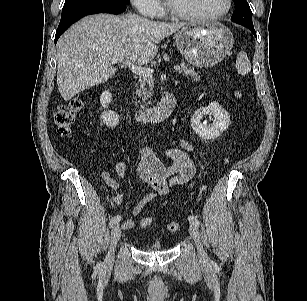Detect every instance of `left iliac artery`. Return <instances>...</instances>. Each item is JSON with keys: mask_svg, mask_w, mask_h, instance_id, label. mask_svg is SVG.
Returning a JSON list of instances; mask_svg holds the SVG:
<instances>
[{"mask_svg": "<svg viewBox=\"0 0 307 301\" xmlns=\"http://www.w3.org/2000/svg\"><path fill=\"white\" fill-rule=\"evenodd\" d=\"M188 220L190 223L194 224L195 226H199V220L197 219V217L193 216V215H190L188 217Z\"/></svg>", "mask_w": 307, "mask_h": 301, "instance_id": "obj_1", "label": "left iliac artery"}]
</instances>
